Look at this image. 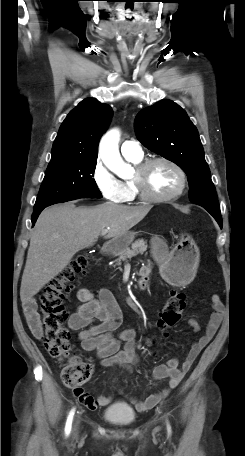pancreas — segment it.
I'll list each match as a JSON object with an SVG mask.
<instances>
[{
    "instance_id": "obj_1",
    "label": "pancreas",
    "mask_w": 245,
    "mask_h": 456,
    "mask_svg": "<svg viewBox=\"0 0 245 456\" xmlns=\"http://www.w3.org/2000/svg\"><path fill=\"white\" fill-rule=\"evenodd\" d=\"M147 250V242L144 239H138L132 243L131 248H126L123 250H117L113 252V255L119 256L117 265H120L121 260L132 258L138 254H143Z\"/></svg>"
}]
</instances>
